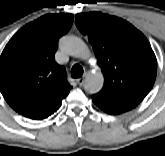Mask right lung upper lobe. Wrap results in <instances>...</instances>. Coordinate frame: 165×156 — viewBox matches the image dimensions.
<instances>
[{
  "label": "right lung upper lobe",
  "instance_id": "cb5924a9",
  "mask_svg": "<svg viewBox=\"0 0 165 156\" xmlns=\"http://www.w3.org/2000/svg\"><path fill=\"white\" fill-rule=\"evenodd\" d=\"M71 14L45 15L21 28L0 57V91L19 114L41 120L56 112L72 86L55 62L58 40L73 23Z\"/></svg>",
  "mask_w": 165,
  "mask_h": 156
}]
</instances>
